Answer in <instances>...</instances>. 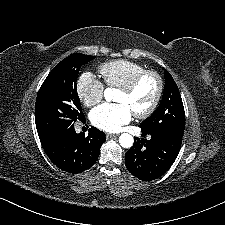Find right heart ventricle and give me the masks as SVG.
<instances>
[{
  "label": "right heart ventricle",
  "mask_w": 225,
  "mask_h": 225,
  "mask_svg": "<svg viewBox=\"0 0 225 225\" xmlns=\"http://www.w3.org/2000/svg\"><path fill=\"white\" fill-rule=\"evenodd\" d=\"M145 70L144 66L125 59L105 62L99 66L104 82L109 87L120 88L133 76Z\"/></svg>",
  "instance_id": "right-heart-ventricle-1"
}]
</instances>
